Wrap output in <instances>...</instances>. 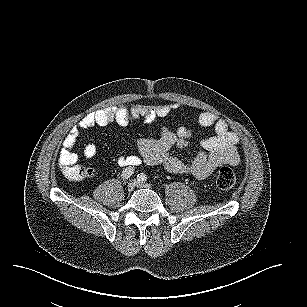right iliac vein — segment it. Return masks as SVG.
Returning <instances> with one entry per match:
<instances>
[{"label":"right iliac vein","instance_id":"1","mask_svg":"<svg viewBox=\"0 0 307 307\" xmlns=\"http://www.w3.org/2000/svg\"><path fill=\"white\" fill-rule=\"evenodd\" d=\"M135 185H136V180H132L131 182H129V183L127 184V189H128V191H133L134 188H135Z\"/></svg>","mask_w":307,"mask_h":307}]
</instances>
